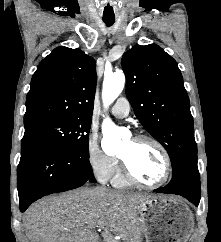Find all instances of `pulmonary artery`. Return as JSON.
Masks as SVG:
<instances>
[{"instance_id": "1", "label": "pulmonary artery", "mask_w": 221, "mask_h": 242, "mask_svg": "<svg viewBox=\"0 0 221 242\" xmlns=\"http://www.w3.org/2000/svg\"><path fill=\"white\" fill-rule=\"evenodd\" d=\"M130 112V104L125 97H119L111 109V113L117 118H124Z\"/></svg>"}]
</instances>
